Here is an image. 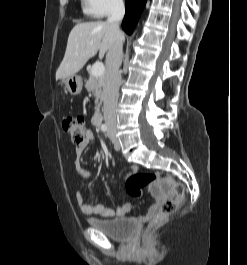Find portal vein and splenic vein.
<instances>
[{
    "mask_svg": "<svg viewBox=\"0 0 247 265\" xmlns=\"http://www.w3.org/2000/svg\"><path fill=\"white\" fill-rule=\"evenodd\" d=\"M104 70H105L104 65L101 62H96L92 66L91 73L94 76H101L103 75Z\"/></svg>",
    "mask_w": 247,
    "mask_h": 265,
    "instance_id": "1",
    "label": "portal vein and splenic vein"
}]
</instances>
